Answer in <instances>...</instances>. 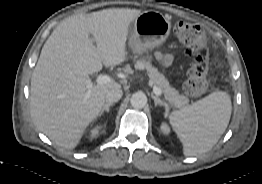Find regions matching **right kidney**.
Here are the masks:
<instances>
[{
	"label": "right kidney",
	"instance_id": "obj_1",
	"mask_svg": "<svg viewBox=\"0 0 262 184\" xmlns=\"http://www.w3.org/2000/svg\"><path fill=\"white\" fill-rule=\"evenodd\" d=\"M101 129V126H95L93 129L90 130L89 137L92 139L94 137H97L99 135V131Z\"/></svg>",
	"mask_w": 262,
	"mask_h": 184
}]
</instances>
